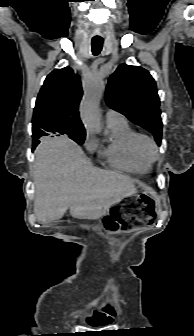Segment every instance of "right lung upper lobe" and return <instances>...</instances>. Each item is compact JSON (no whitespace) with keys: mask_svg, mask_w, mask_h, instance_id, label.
<instances>
[{"mask_svg":"<svg viewBox=\"0 0 194 336\" xmlns=\"http://www.w3.org/2000/svg\"><path fill=\"white\" fill-rule=\"evenodd\" d=\"M82 98L80 77L70 67L55 69L45 79L33 114V147L42 136L85 133L78 107Z\"/></svg>","mask_w":194,"mask_h":336,"instance_id":"cb5924a9","label":"right lung upper lobe"}]
</instances>
